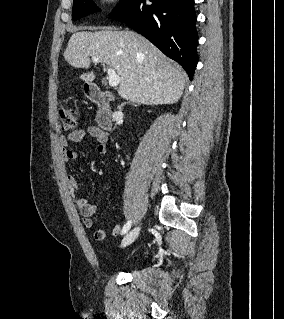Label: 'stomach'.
Listing matches in <instances>:
<instances>
[{"label":"stomach","mask_w":284,"mask_h":319,"mask_svg":"<svg viewBox=\"0 0 284 319\" xmlns=\"http://www.w3.org/2000/svg\"><path fill=\"white\" fill-rule=\"evenodd\" d=\"M84 92H85V93H87V92H88V85H87V86H85V88H84Z\"/></svg>","instance_id":"stomach-1"}]
</instances>
